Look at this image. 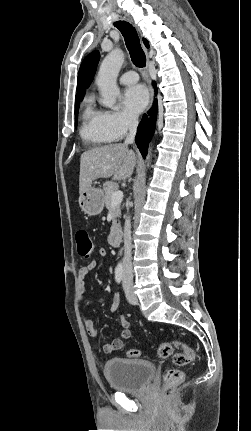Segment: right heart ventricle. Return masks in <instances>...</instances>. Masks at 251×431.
<instances>
[{"label": "right heart ventricle", "mask_w": 251, "mask_h": 431, "mask_svg": "<svg viewBox=\"0 0 251 431\" xmlns=\"http://www.w3.org/2000/svg\"><path fill=\"white\" fill-rule=\"evenodd\" d=\"M80 134L85 141L94 144H106L115 140L105 127L103 111L96 109L90 99L84 105Z\"/></svg>", "instance_id": "right-heart-ventricle-1"}]
</instances>
